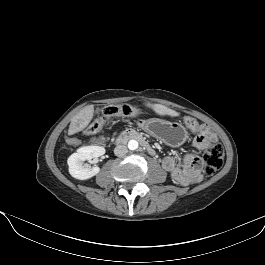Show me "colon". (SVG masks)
Returning a JSON list of instances; mask_svg holds the SVG:
<instances>
[{"instance_id":"colon-1","label":"colon","mask_w":265,"mask_h":265,"mask_svg":"<svg viewBox=\"0 0 265 265\" xmlns=\"http://www.w3.org/2000/svg\"><path fill=\"white\" fill-rule=\"evenodd\" d=\"M142 113L143 111L141 109L129 104L103 107L95 113L94 119L85 129V133L95 136L92 140L95 144H103L105 142V137L96 135L100 130L106 127L111 120L116 117H137L142 115ZM184 122L190 129L199 130L201 128L200 123L192 117H185ZM223 161L224 150L220 145L213 144L206 147L203 154L204 173L207 176L214 175L222 167Z\"/></svg>"}]
</instances>
